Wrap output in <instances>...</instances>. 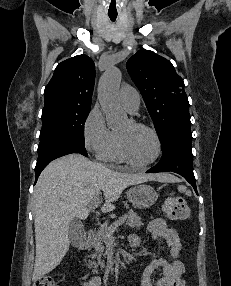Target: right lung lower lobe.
Here are the masks:
<instances>
[{"label":"right lung lower lobe","mask_w":231,"mask_h":286,"mask_svg":"<svg viewBox=\"0 0 231 286\" xmlns=\"http://www.w3.org/2000/svg\"><path fill=\"white\" fill-rule=\"evenodd\" d=\"M71 153H80L88 156L84 144L76 141H57L38 150V159L35 167L36 181L41 171L52 160Z\"/></svg>","instance_id":"1"}]
</instances>
